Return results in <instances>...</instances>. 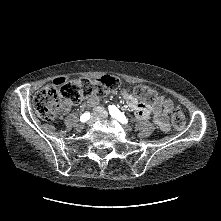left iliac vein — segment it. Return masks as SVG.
<instances>
[{
  "label": "left iliac vein",
  "instance_id": "obj_1",
  "mask_svg": "<svg viewBox=\"0 0 221 221\" xmlns=\"http://www.w3.org/2000/svg\"><path fill=\"white\" fill-rule=\"evenodd\" d=\"M102 117H106V112H105V111L103 112ZM125 129H126L127 131H130V130H131L130 127H125Z\"/></svg>",
  "mask_w": 221,
  "mask_h": 221
}]
</instances>
